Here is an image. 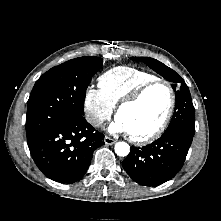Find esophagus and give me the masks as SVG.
<instances>
[{"label": "esophagus", "mask_w": 221, "mask_h": 221, "mask_svg": "<svg viewBox=\"0 0 221 221\" xmlns=\"http://www.w3.org/2000/svg\"><path fill=\"white\" fill-rule=\"evenodd\" d=\"M104 142H105L106 145H113L116 142V140H114V139H112L108 136H105L104 137Z\"/></svg>", "instance_id": "obj_1"}]
</instances>
